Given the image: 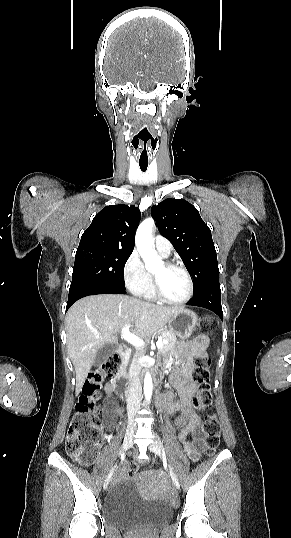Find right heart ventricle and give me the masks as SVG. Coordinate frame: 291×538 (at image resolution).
Wrapping results in <instances>:
<instances>
[{
	"label": "right heart ventricle",
	"mask_w": 291,
	"mask_h": 538,
	"mask_svg": "<svg viewBox=\"0 0 291 538\" xmlns=\"http://www.w3.org/2000/svg\"><path fill=\"white\" fill-rule=\"evenodd\" d=\"M143 296H144L146 299H149V300H154V299H156V296H155V294H154V292H153L152 279H151L150 284H149V286H148V288H147V290H146V292L144 293Z\"/></svg>",
	"instance_id": "obj_1"
}]
</instances>
